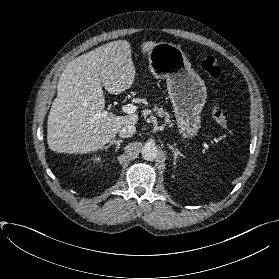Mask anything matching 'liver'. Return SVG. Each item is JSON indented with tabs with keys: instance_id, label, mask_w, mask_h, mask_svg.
Returning <instances> with one entry per match:
<instances>
[{
	"instance_id": "obj_1",
	"label": "liver",
	"mask_w": 279,
	"mask_h": 279,
	"mask_svg": "<svg viewBox=\"0 0 279 279\" xmlns=\"http://www.w3.org/2000/svg\"><path fill=\"white\" fill-rule=\"evenodd\" d=\"M156 42L142 43L143 53ZM131 46L126 40L102 45L72 60L62 72L47 121V142L58 153H86L102 149L119 130L135 125L138 114H103V87L110 94L130 88L135 79Z\"/></svg>"
}]
</instances>
